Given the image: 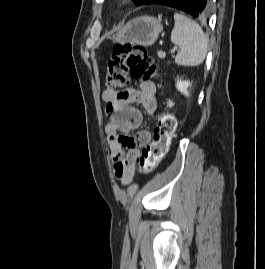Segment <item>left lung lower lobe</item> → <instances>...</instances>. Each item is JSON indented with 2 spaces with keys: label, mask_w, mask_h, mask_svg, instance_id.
I'll return each instance as SVG.
<instances>
[{
  "label": "left lung lower lobe",
  "mask_w": 265,
  "mask_h": 269,
  "mask_svg": "<svg viewBox=\"0 0 265 269\" xmlns=\"http://www.w3.org/2000/svg\"><path fill=\"white\" fill-rule=\"evenodd\" d=\"M143 4H159L187 12L195 18H204L209 14L207 0H146Z\"/></svg>",
  "instance_id": "left-lung-lower-lobe-1"
}]
</instances>
